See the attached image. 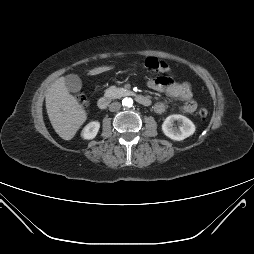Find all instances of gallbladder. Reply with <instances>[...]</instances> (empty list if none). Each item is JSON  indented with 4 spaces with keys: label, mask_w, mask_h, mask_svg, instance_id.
<instances>
[{
    "label": "gallbladder",
    "mask_w": 254,
    "mask_h": 254,
    "mask_svg": "<svg viewBox=\"0 0 254 254\" xmlns=\"http://www.w3.org/2000/svg\"><path fill=\"white\" fill-rule=\"evenodd\" d=\"M65 85L70 92H78L82 87V82L77 75L70 74L65 77Z\"/></svg>",
    "instance_id": "bac80fb5"
}]
</instances>
